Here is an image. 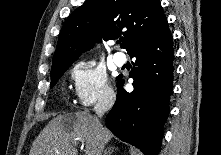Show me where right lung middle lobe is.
Here are the masks:
<instances>
[{
	"label": "right lung middle lobe",
	"mask_w": 221,
	"mask_h": 155,
	"mask_svg": "<svg viewBox=\"0 0 221 155\" xmlns=\"http://www.w3.org/2000/svg\"><path fill=\"white\" fill-rule=\"evenodd\" d=\"M71 64L64 65L61 67H58L54 70H51V85L50 88H53L54 85L57 83L59 78L64 74V72L69 68Z\"/></svg>",
	"instance_id": "right-lung-middle-lobe-1"
}]
</instances>
